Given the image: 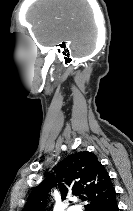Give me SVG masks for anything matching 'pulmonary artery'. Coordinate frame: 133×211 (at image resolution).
<instances>
[{"label":"pulmonary artery","mask_w":133,"mask_h":211,"mask_svg":"<svg viewBox=\"0 0 133 211\" xmlns=\"http://www.w3.org/2000/svg\"><path fill=\"white\" fill-rule=\"evenodd\" d=\"M67 211H81V209L79 207H76V206H71L68 208Z\"/></svg>","instance_id":"e3ab8cb5"}]
</instances>
